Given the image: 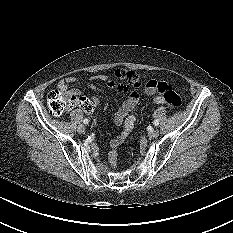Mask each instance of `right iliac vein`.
I'll list each match as a JSON object with an SVG mask.
<instances>
[{"instance_id": "right-iliac-vein-1", "label": "right iliac vein", "mask_w": 233, "mask_h": 233, "mask_svg": "<svg viewBox=\"0 0 233 233\" xmlns=\"http://www.w3.org/2000/svg\"><path fill=\"white\" fill-rule=\"evenodd\" d=\"M78 133L84 134L86 131V127L84 125H79L77 128Z\"/></svg>"}]
</instances>
